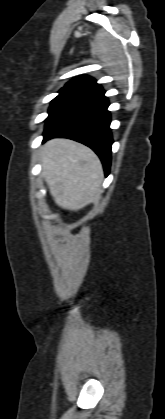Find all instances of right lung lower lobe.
I'll return each mask as SVG.
<instances>
[{
  "label": "right lung lower lobe",
  "instance_id": "98d812e1",
  "mask_svg": "<svg viewBox=\"0 0 165 419\" xmlns=\"http://www.w3.org/2000/svg\"><path fill=\"white\" fill-rule=\"evenodd\" d=\"M105 91L85 96L64 107L46 119L44 141L64 137L92 148L100 157L106 176L111 163L113 143L110 126L109 103Z\"/></svg>",
  "mask_w": 165,
  "mask_h": 419
}]
</instances>
